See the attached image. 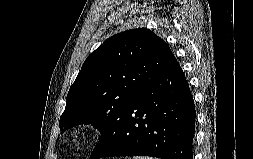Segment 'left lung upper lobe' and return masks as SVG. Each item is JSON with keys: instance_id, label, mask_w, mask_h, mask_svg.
I'll list each match as a JSON object with an SVG mask.
<instances>
[{"instance_id": "left-lung-upper-lobe-1", "label": "left lung upper lobe", "mask_w": 253, "mask_h": 159, "mask_svg": "<svg viewBox=\"0 0 253 159\" xmlns=\"http://www.w3.org/2000/svg\"><path fill=\"white\" fill-rule=\"evenodd\" d=\"M174 58L169 46L148 29L128 30L108 38L88 56L70 87L60 129L92 124L101 132L100 141L108 137L124 108Z\"/></svg>"}]
</instances>
